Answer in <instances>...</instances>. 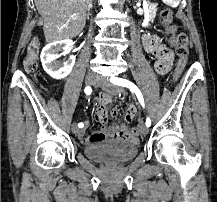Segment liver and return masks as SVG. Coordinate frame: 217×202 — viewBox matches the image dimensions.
<instances>
[{"instance_id":"6515ba94","label":"liver","mask_w":217,"mask_h":202,"mask_svg":"<svg viewBox=\"0 0 217 202\" xmlns=\"http://www.w3.org/2000/svg\"><path fill=\"white\" fill-rule=\"evenodd\" d=\"M44 20L43 32L48 44L76 38L86 22L89 0H34ZM73 16L77 20H72Z\"/></svg>"}]
</instances>
